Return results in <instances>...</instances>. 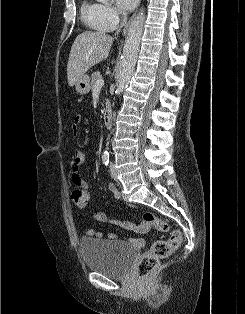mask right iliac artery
Segmentation results:
<instances>
[{
  "label": "right iliac artery",
  "mask_w": 245,
  "mask_h": 314,
  "mask_svg": "<svg viewBox=\"0 0 245 314\" xmlns=\"http://www.w3.org/2000/svg\"><path fill=\"white\" fill-rule=\"evenodd\" d=\"M109 161H110V156H109V153H104L102 155V162L105 166H108L109 164Z\"/></svg>",
  "instance_id": "right-iliac-artery-1"
}]
</instances>
